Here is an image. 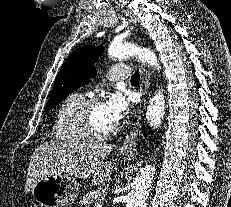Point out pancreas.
I'll list each match as a JSON object with an SVG mask.
<instances>
[{"instance_id": "cf45deb5", "label": "pancreas", "mask_w": 231, "mask_h": 207, "mask_svg": "<svg viewBox=\"0 0 231 207\" xmlns=\"http://www.w3.org/2000/svg\"><path fill=\"white\" fill-rule=\"evenodd\" d=\"M104 198V193L101 189L92 190L86 193L80 200L79 204L84 207H89L95 203H102Z\"/></svg>"}]
</instances>
